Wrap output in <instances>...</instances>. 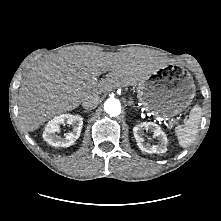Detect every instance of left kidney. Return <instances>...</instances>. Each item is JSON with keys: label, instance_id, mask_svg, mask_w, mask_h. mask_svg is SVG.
<instances>
[{"label": "left kidney", "instance_id": "1", "mask_svg": "<svg viewBox=\"0 0 221 221\" xmlns=\"http://www.w3.org/2000/svg\"><path fill=\"white\" fill-rule=\"evenodd\" d=\"M144 130L151 131L154 137L159 139L158 144L150 145L144 142ZM133 134L136 139L138 147L147 153H165L167 151V137L164 131H162L161 127L153 122H143L137 124L133 128Z\"/></svg>", "mask_w": 221, "mask_h": 221}]
</instances>
